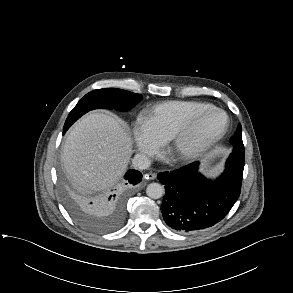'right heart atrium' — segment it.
<instances>
[{
	"instance_id": "1",
	"label": "right heart atrium",
	"mask_w": 293,
	"mask_h": 293,
	"mask_svg": "<svg viewBox=\"0 0 293 293\" xmlns=\"http://www.w3.org/2000/svg\"><path fill=\"white\" fill-rule=\"evenodd\" d=\"M130 140L137 151L145 156L157 154L163 141L156 136L143 119H137L130 128Z\"/></svg>"
}]
</instances>
